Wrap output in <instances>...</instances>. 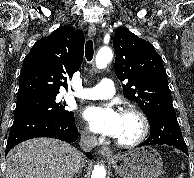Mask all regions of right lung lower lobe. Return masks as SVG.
<instances>
[{
    "label": "right lung lower lobe",
    "mask_w": 194,
    "mask_h": 178,
    "mask_svg": "<svg viewBox=\"0 0 194 178\" xmlns=\"http://www.w3.org/2000/svg\"><path fill=\"white\" fill-rule=\"evenodd\" d=\"M36 137H51L73 143L78 137L74 114L57 117L45 112L14 114V122L6 146L5 155L17 144ZM92 159L91 153H87Z\"/></svg>",
    "instance_id": "1"
}]
</instances>
